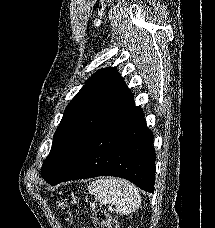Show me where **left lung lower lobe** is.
I'll use <instances>...</instances> for the list:
<instances>
[{
  "label": "left lung lower lobe",
  "instance_id": "obj_1",
  "mask_svg": "<svg viewBox=\"0 0 215 228\" xmlns=\"http://www.w3.org/2000/svg\"><path fill=\"white\" fill-rule=\"evenodd\" d=\"M133 96L85 142L50 185L96 176L125 178L154 193L153 134Z\"/></svg>",
  "mask_w": 215,
  "mask_h": 228
}]
</instances>
